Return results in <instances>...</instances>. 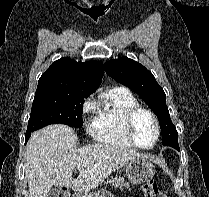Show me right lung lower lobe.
<instances>
[{
  "mask_svg": "<svg viewBox=\"0 0 209 197\" xmlns=\"http://www.w3.org/2000/svg\"><path fill=\"white\" fill-rule=\"evenodd\" d=\"M31 133H32V132L26 133V136H25V143H27L29 137L31 136Z\"/></svg>",
  "mask_w": 209,
  "mask_h": 197,
  "instance_id": "right-lung-lower-lobe-1",
  "label": "right lung lower lobe"
}]
</instances>
